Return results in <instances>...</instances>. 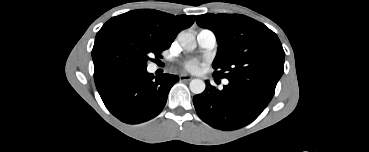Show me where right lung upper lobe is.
I'll list each match as a JSON object with an SVG mask.
<instances>
[{
  "mask_svg": "<svg viewBox=\"0 0 369 152\" xmlns=\"http://www.w3.org/2000/svg\"><path fill=\"white\" fill-rule=\"evenodd\" d=\"M194 20L195 16H174L153 9H139L115 16L104 25H119L134 29L156 45L167 49L177 34L190 27Z\"/></svg>",
  "mask_w": 369,
  "mask_h": 152,
  "instance_id": "1",
  "label": "right lung upper lobe"
}]
</instances>
